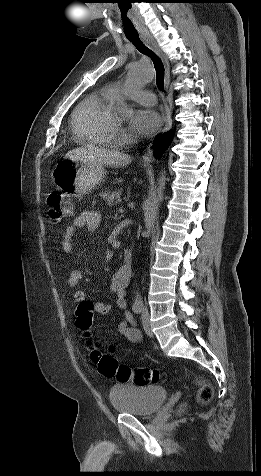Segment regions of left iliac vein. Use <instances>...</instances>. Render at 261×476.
<instances>
[{
	"label": "left iliac vein",
	"mask_w": 261,
	"mask_h": 476,
	"mask_svg": "<svg viewBox=\"0 0 261 476\" xmlns=\"http://www.w3.org/2000/svg\"><path fill=\"white\" fill-rule=\"evenodd\" d=\"M142 324H143V328H144V331L146 332V334L148 336H152L153 333H152L151 327H150L148 311H144L143 314H142Z\"/></svg>",
	"instance_id": "left-iliac-vein-1"
}]
</instances>
